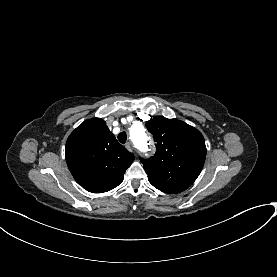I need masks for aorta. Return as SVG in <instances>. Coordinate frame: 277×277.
I'll return each instance as SVG.
<instances>
[{"instance_id":"762f6f07","label":"aorta","mask_w":277,"mask_h":277,"mask_svg":"<svg viewBox=\"0 0 277 277\" xmlns=\"http://www.w3.org/2000/svg\"><path fill=\"white\" fill-rule=\"evenodd\" d=\"M130 138L140 150H147V136L141 123H135L130 128Z\"/></svg>"}]
</instances>
